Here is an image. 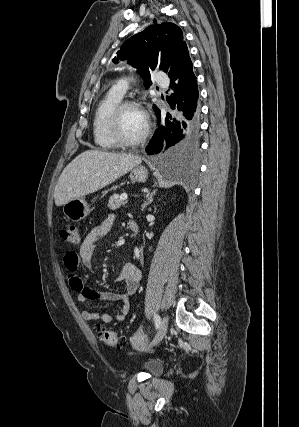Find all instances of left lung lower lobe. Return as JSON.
Segmentation results:
<instances>
[{
	"instance_id": "obj_1",
	"label": "left lung lower lobe",
	"mask_w": 299,
	"mask_h": 427,
	"mask_svg": "<svg viewBox=\"0 0 299 427\" xmlns=\"http://www.w3.org/2000/svg\"><path fill=\"white\" fill-rule=\"evenodd\" d=\"M170 87L173 90L167 102L178 113L172 118L167 113L146 148L149 155L161 152L169 162L191 161L199 149V108L196 76L186 43L183 41L168 70ZM158 122L161 113L154 108Z\"/></svg>"
}]
</instances>
